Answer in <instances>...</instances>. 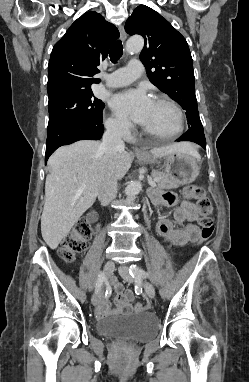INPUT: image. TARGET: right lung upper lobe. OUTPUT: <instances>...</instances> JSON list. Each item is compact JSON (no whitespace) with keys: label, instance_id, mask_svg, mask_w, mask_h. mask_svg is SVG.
Returning <instances> with one entry per match:
<instances>
[{"label":"right lung upper lobe","instance_id":"1","mask_svg":"<svg viewBox=\"0 0 249 382\" xmlns=\"http://www.w3.org/2000/svg\"><path fill=\"white\" fill-rule=\"evenodd\" d=\"M119 37L117 28L97 12L78 18L53 47L48 65L49 103L90 92L97 66Z\"/></svg>","mask_w":249,"mask_h":382}]
</instances>
